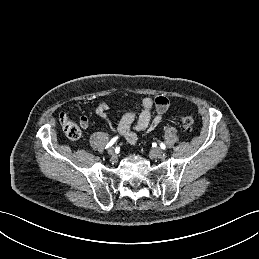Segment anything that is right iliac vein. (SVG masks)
I'll use <instances>...</instances> for the list:
<instances>
[{
    "label": "right iliac vein",
    "instance_id": "right-iliac-vein-1",
    "mask_svg": "<svg viewBox=\"0 0 259 259\" xmlns=\"http://www.w3.org/2000/svg\"><path fill=\"white\" fill-rule=\"evenodd\" d=\"M108 154L112 157L113 160H116L117 157L114 148H110L108 150Z\"/></svg>",
    "mask_w": 259,
    "mask_h": 259
}]
</instances>
